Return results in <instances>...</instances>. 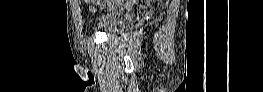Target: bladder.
Returning <instances> with one entry per match:
<instances>
[{
  "mask_svg": "<svg viewBox=\"0 0 263 92\" xmlns=\"http://www.w3.org/2000/svg\"><path fill=\"white\" fill-rule=\"evenodd\" d=\"M132 14L123 10L105 11L93 24L92 29H96L107 34L117 32L127 28L132 23Z\"/></svg>",
  "mask_w": 263,
  "mask_h": 92,
  "instance_id": "31cf9c89",
  "label": "bladder"
}]
</instances>
